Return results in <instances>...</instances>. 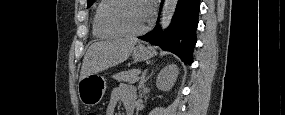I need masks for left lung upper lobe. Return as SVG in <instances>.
I'll return each instance as SVG.
<instances>
[{
  "mask_svg": "<svg viewBox=\"0 0 285 115\" xmlns=\"http://www.w3.org/2000/svg\"><path fill=\"white\" fill-rule=\"evenodd\" d=\"M94 1H95V0H88V7L91 6Z\"/></svg>",
  "mask_w": 285,
  "mask_h": 115,
  "instance_id": "5c2ea615",
  "label": "left lung upper lobe"
}]
</instances>
